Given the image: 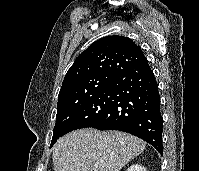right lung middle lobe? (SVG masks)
I'll return each mask as SVG.
<instances>
[{
  "mask_svg": "<svg viewBox=\"0 0 199 171\" xmlns=\"http://www.w3.org/2000/svg\"><path fill=\"white\" fill-rule=\"evenodd\" d=\"M113 77V75L105 74L96 75L59 95L56 124L53 129L51 146L62 136L64 129L79 109L112 80Z\"/></svg>",
  "mask_w": 199,
  "mask_h": 171,
  "instance_id": "obj_1",
  "label": "right lung middle lobe"
}]
</instances>
